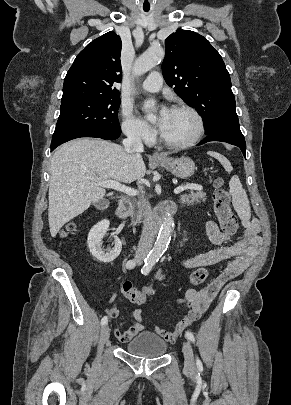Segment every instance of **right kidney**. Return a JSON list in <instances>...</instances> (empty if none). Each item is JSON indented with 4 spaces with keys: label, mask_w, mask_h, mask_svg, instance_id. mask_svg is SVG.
<instances>
[{
    "label": "right kidney",
    "mask_w": 291,
    "mask_h": 405,
    "mask_svg": "<svg viewBox=\"0 0 291 405\" xmlns=\"http://www.w3.org/2000/svg\"><path fill=\"white\" fill-rule=\"evenodd\" d=\"M109 220H102L93 226L88 234L87 244L90 253L98 261L110 263L116 259L122 249V243L117 236H114V248L107 249L106 252L101 248V241L109 228Z\"/></svg>",
    "instance_id": "1"
}]
</instances>
